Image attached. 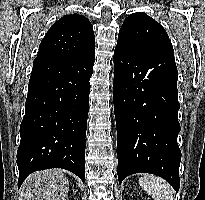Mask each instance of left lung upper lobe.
Returning <instances> with one entry per match:
<instances>
[{
  "instance_id": "obj_1",
  "label": "left lung upper lobe",
  "mask_w": 205,
  "mask_h": 200,
  "mask_svg": "<svg viewBox=\"0 0 205 200\" xmlns=\"http://www.w3.org/2000/svg\"><path fill=\"white\" fill-rule=\"evenodd\" d=\"M117 47L134 53L171 49V41L164 28L145 13L129 15L118 35Z\"/></svg>"
}]
</instances>
